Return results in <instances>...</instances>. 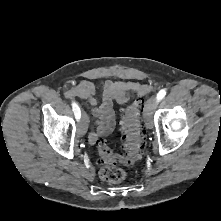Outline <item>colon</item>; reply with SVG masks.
Segmentation results:
<instances>
[{"instance_id":"5ec220e1","label":"colon","mask_w":221,"mask_h":221,"mask_svg":"<svg viewBox=\"0 0 221 221\" xmlns=\"http://www.w3.org/2000/svg\"><path fill=\"white\" fill-rule=\"evenodd\" d=\"M142 98L136 99L125 111L121 120L122 145L121 152L116 153L103 140L97 142L102 167L99 175L102 180L109 183H119L126 178V172L117 166L133 164L141 157L144 132L141 128Z\"/></svg>"}]
</instances>
